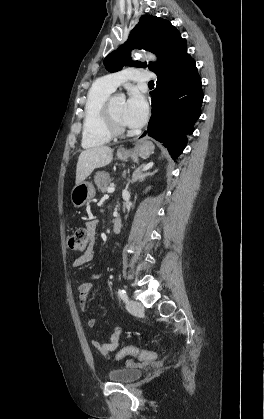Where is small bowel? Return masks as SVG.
<instances>
[{"label":"small bowel","instance_id":"c3829d8e","mask_svg":"<svg viewBox=\"0 0 264 419\" xmlns=\"http://www.w3.org/2000/svg\"><path fill=\"white\" fill-rule=\"evenodd\" d=\"M86 229L89 233L90 237H94L97 228V221L92 219L86 222ZM93 246L91 245L87 251L81 255L80 257L76 258L73 262L74 267H81L87 263H89L93 259ZM100 277V274H94L90 277V279L86 281H82L78 284L77 290L79 295V304L82 311H85L87 301L94 289V282L97 278ZM97 320L95 318H91L88 320L87 325L89 328H94L96 326ZM123 330L120 327H116L111 330L108 337L103 341L93 340L92 346L100 352L105 358H110L115 351L117 350L120 344V338L122 336Z\"/></svg>","mask_w":264,"mask_h":419}]
</instances>
